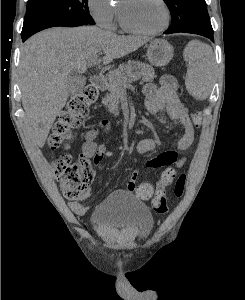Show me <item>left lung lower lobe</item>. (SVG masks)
Instances as JSON below:
<instances>
[{
    "instance_id": "obj_1",
    "label": "left lung lower lobe",
    "mask_w": 245,
    "mask_h": 300,
    "mask_svg": "<svg viewBox=\"0 0 245 300\" xmlns=\"http://www.w3.org/2000/svg\"><path fill=\"white\" fill-rule=\"evenodd\" d=\"M177 32L198 34V35L209 38L211 41H214L213 31H204V30H195V29L185 28V29H179V30L171 32V33H177ZM171 33H169L168 31L165 32V34H171Z\"/></svg>"
}]
</instances>
